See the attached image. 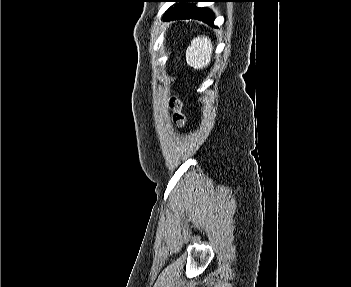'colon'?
Wrapping results in <instances>:
<instances>
[{
    "label": "colon",
    "mask_w": 351,
    "mask_h": 287,
    "mask_svg": "<svg viewBox=\"0 0 351 287\" xmlns=\"http://www.w3.org/2000/svg\"><path fill=\"white\" fill-rule=\"evenodd\" d=\"M170 108L173 113V121L176 125L182 126L185 123V115L182 112V102L178 97L170 100Z\"/></svg>",
    "instance_id": "colon-1"
}]
</instances>
